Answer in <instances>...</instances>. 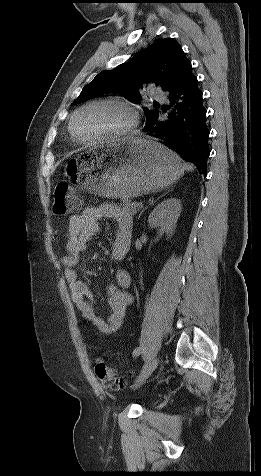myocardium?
I'll return each mask as SVG.
<instances>
[{"instance_id": "f54148a6", "label": "myocardium", "mask_w": 261, "mask_h": 476, "mask_svg": "<svg viewBox=\"0 0 261 476\" xmlns=\"http://www.w3.org/2000/svg\"><path fill=\"white\" fill-rule=\"evenodd\" d=\"M101 104L114 105V106H117V107L123 109L124 111H126V113L128 114L127 123L123 127L119 128L115 131L103 134V135H101L97 138H94V139H91V140H81V139H79L76 136L75 130H74V124H75L76 118L84 110H86L90 107L96 106V105H101ZM137 124H138V112L132 104H130L126 101L120 100V99H116V98H99V99H94V100H91V101L83 104L82 106H80L79 108H77L74 111V113L72 114V116L70 118V121H69L68 130H69L71 138L74 142H76L80 145H93V144H96V143H99V142H102V141H105V140H108V139L125 136V135L129 134L136 127Z\"/></svg>"}]
</instances>
